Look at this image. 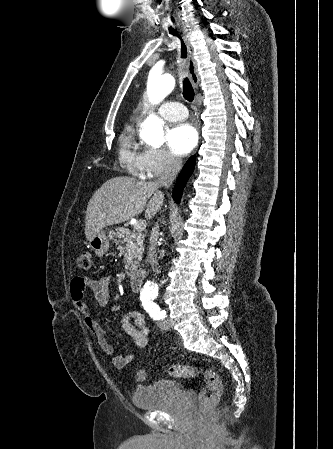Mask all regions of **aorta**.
<instances>
[{"mask_svg": "<svg viewBox=\"0 0 333 449\" xmlns=\"http://www.w3.org/2000/svg\"><path fill=\"white\" fill-rule=\"evenodd\" d=\"M174 88V78L169 73H163L157 66H153L147 83V96L151 103L157 104L163 101ZM140 137L154 147H160L164 143V131L162 120L155 115H150L139 131ZM156 288L155 284L147 283L143 293L150 294Z\"/></svg>", "mask_w": 333, "mask_h": 449, "instance_id": "1", "label": "aorta"}]
</instances>
